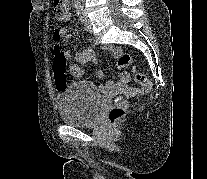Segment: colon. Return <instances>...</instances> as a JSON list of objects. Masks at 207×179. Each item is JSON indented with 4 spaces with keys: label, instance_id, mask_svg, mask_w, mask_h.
I'll return each instance as SVG.
<instances>
[{
    "label": "colon",
    "instance_id": "5ec220e1",
    "mask_svg": "<svg viewBox=\"0 0 207 179\" xmlns=\"http://www.w3.org/2000/svg\"><path fill=\"white\" fill-rule=\"evenodd\" d=\"M68 9L67 0H53V11L57 18H60L63 13ZM54 42V61L53 68L60 86L66 85L67 78V60L62 50L61 36L58 33L53 35ZM133 65V59L129 54H123L117 62L119 69H124L127 66ZM134 71L135 68L133 67ZM135 81L139 85L134 93L135 97H141L147 94L151 89V83L148 78L141 72L135 71ZM128 106V102L121 96H117L114 99L113 105L108 113V120L110 123H114L122 118Z\"/></svg>",
    "mask_w": 207,
    "mask_h": 179
}]
</instances>
